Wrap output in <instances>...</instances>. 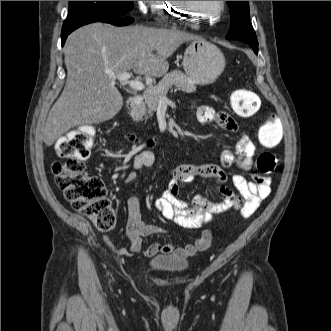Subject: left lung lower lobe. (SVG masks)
<instances>
[{"label": "left lung lower lobe", "mask_w": 331, "mask_h": 331, "mask_svg": "<svg viewBox=\"0 0 331 331\" xmlns=\"http://www.w3.org/2000/svg\"><path fill=\"white\" fill-rule=\"evenodd\" d=\"M254 50L255 53L258 52V42L257 43H248Z\"/></svg>", "instance_id": "obj_1"}]
</instances>
